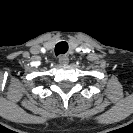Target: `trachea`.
<instances>
[{
    "label": "trachea",
    "mask_w": 133,
    "mask_h": 133,
    "mask_svg": "<svg viewBox=\"0 0 133 133\" xmlns=\"http://www.w3.org/2000/svg\"><path fill=\"white\" fill-rule=\"evenodd\" d=\"M68 51V44L67 42H59L55 46V54L56 56L65 54Z\"/></svg>",
    "instance_id": "obj_1"
}]
</instances>
